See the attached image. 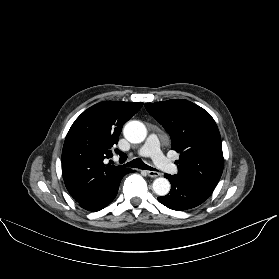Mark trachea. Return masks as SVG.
I'll list each match as a JSON object with an SVG mask.
<instances>
[{
	"mask_svg": "<svg viewBox=\"0 0 279 279\" xmlns=\"http://www.w3.org/2000/svg\"><path fill=\"white\" fill-rule=\"evenodd\" d=\"M123 167H132V168H139L144 170H150V171H156L155 168H152L145 164L141 159L137 158L134 159L126 164L123 165Z\"/></svg>",
	"mask_w": 279,
	"mask_h": 279,
	"instance_id": "1",
	"label": "trachea"
}]
</instances>
